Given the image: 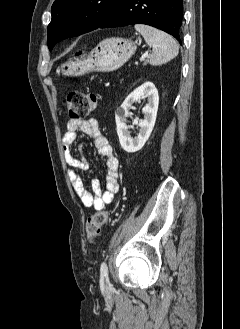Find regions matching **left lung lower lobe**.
<instances>
[{
	"label": "left lung lower lobe",
	"mask_w": 240,
	"mask_h": 329,
	"mask_svg": "<svg viewBox=\"0 0 240 329\" xmlns=\"http://www.w3.org/2000/svg\"><path fill=\"white\" fill-rule=\"evenodd\" d=\"M183 0H122L98 28L146 24L174 36L179 43Z\"/></svg>",
	"instance_id": "1"
}]
</instances>
